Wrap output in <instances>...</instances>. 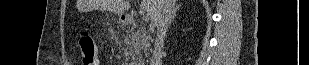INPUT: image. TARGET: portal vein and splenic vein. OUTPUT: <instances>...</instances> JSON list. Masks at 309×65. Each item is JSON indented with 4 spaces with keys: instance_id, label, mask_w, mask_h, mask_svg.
<instances>
[{
    "instance_id": "18ae733b",
    "label": "portal vein and splenic vein",
    "mask_w": 309,
    "mask_h": 65,
    "mask_svg": "<svg viewBox=\"0 0 309 65\" xmlns=\"http://www.w3.org/2000/svg\"><path fill=\"white\" fill-rule=\"evenodd\" d=\"M142 19H143L145 22L149 21V15L143 13V14H142Z\"/></svg>"
}]
</instances>
